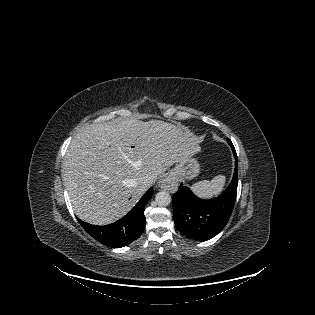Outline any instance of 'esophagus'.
I'll return each instance as SVG.
<instances>
[{
	"mask_svg": "<svg viewBox=\"0 0 315 315\" xmlns=\"http://www.w3.org/2000/svg\"><path fill=\"white\" fill-rule=\"evenodd\" d=\"M157 186L161 190H166V191H169V192H172V193L175 192L177 190V188H178L177 181L170 174L163 175L159 179V181L157 183Z\"/></svg>",
	"mask_w": 315,
	"mask_h": 315,
	"instance_id": "esophagus-1",
	"label": "esophagus"
}]
</instances>
